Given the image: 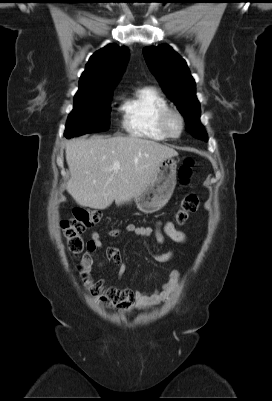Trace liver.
Returning <instances> with one entry per match:
<instances>
[{
  "mask_svg": "<svg viewBox=\"0 0 272 401\" xmlns=\"http://www.w3.org/2000/svg\"><path fill=\"white\" fill-rule=\"evenodd\" d=\"M67 191L81 206L106 209L139 194L159 164L178 155L173 148L137 136H94L66 142ZM115 162L118 172L110 170Z\"/></svg>",
  "mask_w": 272,
  "mask_h": 401,
  "instance_id": "6515ba94",
  "label": "liver"
}]
</instances>
